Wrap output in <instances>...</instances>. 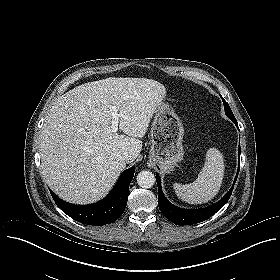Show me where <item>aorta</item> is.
Masks as SVG:
<instances>
[{"label":"aorta","mask_w":280,"mask_h":280,"mask_svg":"<svg viewBox=\"0 0 280 280\" xmlns=\"http://www.w3.org/2000/svg\"><path fill=\"white\" fill-rule=\"evenodd\" d=\"M137 183L142 188H151L155 184V176L150 171H141L137 175Z\"/></svg>","instance_id":"762f6f07"}]
</instances>
